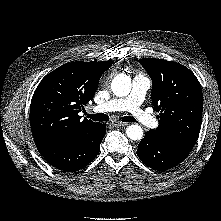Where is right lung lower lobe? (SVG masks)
<instances>
[{"label": "right lung lower lobe", "instance_id": "1", "mask_svg": "<svg viewBox=\"0 0 221 221\" xmlns=\"http://www.w3.org/2000/svg\"><path fill=\"white\" fill-rule=\"evenodd\" d=\"M106 126L98 125L93 130L68 142L36 140L39 153L52 166L74 172L88 165L99 153Z\"/></svg>", "mask_w": 221, "mask_h": 221}]
</instances>
